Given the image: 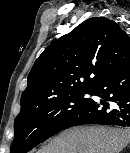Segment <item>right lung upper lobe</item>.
<instances>
[{
    "label": "right lung upper lobe",
    "instance_id": "cb5924a9",
    "mask_svg": "<svg viewBox=\"0 0 130 153\" xmlns=\"http://www.w3.org/2000/svg\"><path fill=\"white\" fill-rule=\"evenodd\" d=\"M128 62V35L110 19L89 18L35 61L18 115L69 93L91 91L101 78Z\"/></svg>",
    "mask_w": 130,
    "mask_h": 153
}]
</instances>
